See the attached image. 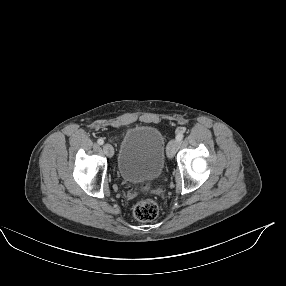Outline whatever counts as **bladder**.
Masks as SVG:
<instances>
[{"mask_svg":"<svg viewBox=\"0 0 286 286\" xmlns=\"http://www.w3.org/2000/svg\"><path fill=\"white\" fill-rule=\"evenodd\" d=\"M166 141L153 126L138 125L123 135L117 156V168L127 182H148L161 176L165 165Z\"/></svg>","mask_w":286,"mask_h":286,"instance_id":"obj_1","label":"bladder"}]
</instances>
